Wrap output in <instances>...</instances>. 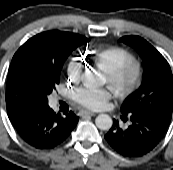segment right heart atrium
Wrapping results in <instances>:
<instances>
[{
  "instance_id": "right-heart-atrium-1",
  "label": "right heart atrium",
  "mask_w": 173,
  "mask_h": 170,
  "mask_svg": "<svg viewBox=\"0 0 173 170\" xmlns=\"http://www.w3.org/2000/svg\"><path fill=\"white\" fill-rule=\"evenodd\" d=\"M73 70L76 71V72H79V70H80V64H75L73 66Z\"/></svg>"
}]
</instances>
